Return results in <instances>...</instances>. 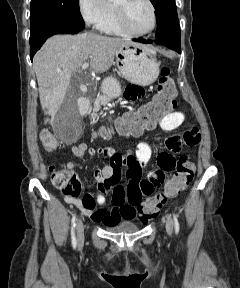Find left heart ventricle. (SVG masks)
<instances>
[{
  "mask_svg": "<svg viewBox=\"0 0 240 288\" xmlns=\"http://www.w3.org/2000/svg\"><path fill=\"white\" fill-rule=\"evenodd\" d=\"M114 3L126 7L128 22L134 31L146 32L152 27V10L145 0H114Z\"/></svg>",
  "mask_w": 240,
  "mask_h": 288,
  "instance_id": "left-heart-ventricle-1",
  "label": "left heart ventricle"
}]
</instances>
